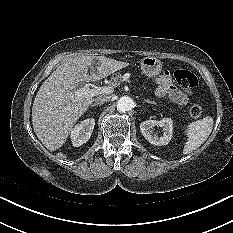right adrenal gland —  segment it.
<instances>
[{"label": "right adrenal gland", "mask_w": 233, "mask_h": 233, "mask_svg": "<svg viewBox=\"0 0 233 233\" xmlns=\"http://www.w3.org/2000/svg\"><path fill=\"white\" fill-rule=\"evenodd\" d=\"M94 106H98V105H97V104H92V105H91V108L94 107Z\"/></svg>", "instance_id": "obj_1"}]
</instances>
